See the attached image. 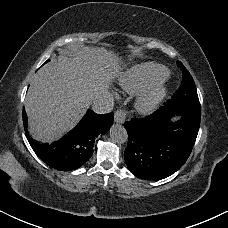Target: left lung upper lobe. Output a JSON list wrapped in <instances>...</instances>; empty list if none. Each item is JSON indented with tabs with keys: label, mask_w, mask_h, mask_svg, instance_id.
<instances>
[{
	"label": "left lung upper lobe",
	"mask_w": 228,
	"mask_h": 228,
	"mask_svg": "<svg viewBox=\"0 0 228 228\" xmlns=\"http://www.w3.org/2000/svg\"><path fill=\"white\" fill-rule=\"evenodd\" d=\"M177 65L183 72V79L180 88L168 103L169 110L173 113L201 117V107L194 80L181 62L177 61Z\"/></svg>",
	"instance_id": "5c2ea615"
}]
</instances>
